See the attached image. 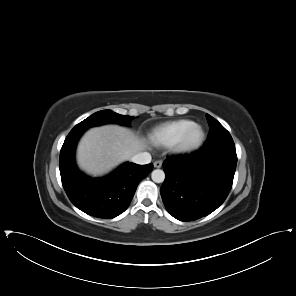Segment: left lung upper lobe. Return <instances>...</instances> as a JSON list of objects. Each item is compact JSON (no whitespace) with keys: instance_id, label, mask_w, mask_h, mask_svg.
Segmentation results:
<instances>
[{"instance_id":"1","label":"left lung upper lobe","mask_w":296,"mask_h":296,"mask_svg":"<svg viewBox=\"0 0 296 296\" xmlns=\"http://www.w3.org/2000/svg\"><path fill=\"white\" fill-rule=\"evenodd\" d=\"M210 132L202 151L212 154L221 150H235V145L230 133L212 116L206 114Z\"/></svg>"}]
</instances>
